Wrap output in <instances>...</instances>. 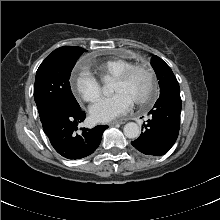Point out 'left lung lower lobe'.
<instances>
[{
	"mask_svg": "<svg viewBox=\"0 0 220 220\" xmlns=\"http://www.w3.org/2000/svg\"><path fill=\"white\" fill-rule=\"evenodd\" d=\"M181 107L180 93L160 96L142 126L144 132L131 144L147 155L165 154L178 137Z\"/></svg>",
	"mask_w": 220,
	"mask_h": 220,
	"instance_id": "0a47b994",
	"label": "left lung lower lobe"
}]
</instances>
